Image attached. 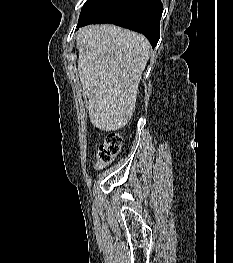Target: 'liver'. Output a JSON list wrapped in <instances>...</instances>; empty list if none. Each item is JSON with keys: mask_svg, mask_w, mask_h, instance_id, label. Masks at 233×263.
Returning <instances> with one entry per match:
<instances>
[{"mask_svg": "<svg viewBox=\"0 0 233 263\" xmlns=\"http://www.w3.org/2000/svg\"><path fill=\"white\" fill-rule=\"evenodd\" d=\"M78 74L91 123L100 130L123 128L131 119L138 85L150 57L148 39L111 24L77 33Z\"/></svg>", "mask_w": 233, "mask_h": 263, "instance_id": "1", "label": "liver"}]
</instances>
